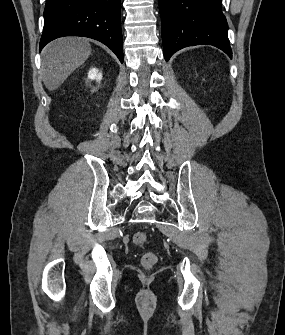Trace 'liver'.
Segmentation results:
<instances>
[{"label": "liver", "mask_w": 285, "mask_h": 335, "mask_svg": "<svg viewBox=\"0 0 285 335\" xmlns=\"http://www.w3.org/2000/svg\"><path fill=\"white\" fill-rule=\"evenodd\" d=\"M91 46L86 38H59L42 52L43 82L50 92L57 90L66 78L86 62Z\"/></svg>", "instance_id": "obj_1"}]
</instances>
